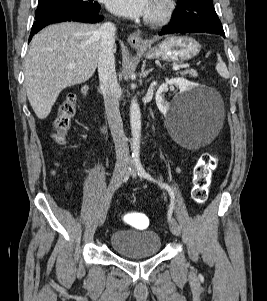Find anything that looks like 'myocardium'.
I'll list each match as a JSON object with an SVG mask.
<instances>
[{
    "instance_id": "obj_1",
    "label": "myocardium",
    "mask_w": 267,
    "mask_h": 301,
    "mask_svg": "<svg viewBox=\"0 0 267 301\" xmlns=\"http://www.w3.org/2000/svg\"><path fill=\"white\" fill-rule=\"evenodd\" d=\"M177 8L176 0H154L146 22L152 25L167 23Z\"/></svg>"
}]
</instances>
